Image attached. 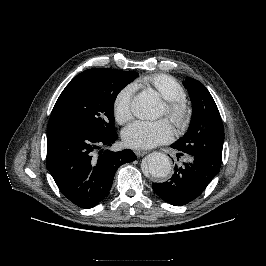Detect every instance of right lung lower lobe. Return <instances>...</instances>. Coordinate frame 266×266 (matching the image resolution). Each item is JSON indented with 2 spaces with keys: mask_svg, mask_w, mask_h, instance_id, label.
<instances>
[{
  "mask_svg": "<svg viewBox=\"0 0 266 266\" xmlns=\"http://www.w3.org/2000/svg\"><path fill=\"white\" fill-rule=\"evenodd\" d=\"M116 139L115 131L96 134L68 125H48L46 167L61 193L77 206H96L110 191L117 169L137 159L129 149L100 150Z\"/></svg>",
  "mask_w": 266,
  "mask_h": 266,
  "instance_id": "98d812e1",
  "label": "right lung lower lobe"
}]
</instances>
